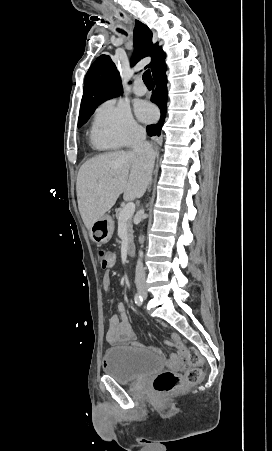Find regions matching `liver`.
<instances>
[{
	"mask_svg": "<svg viewBox=\"0 0 272 451\" xmlns=\"http://www.w3.org/2000/svg\"><path fill=\"white\" fill-rule=\"evenodd\" d=\"M148 184V170L133 152H109L87 160L76 182L78 208L87 229L111 210L120 194L124 200L142 198Z\"/></svg>",
	"mask_w": 272,
	"mask_h": 451,
	"instance_id": "liver-1",
	"label": "liver"
}]
</instances>
